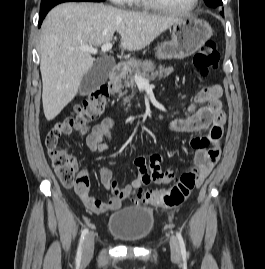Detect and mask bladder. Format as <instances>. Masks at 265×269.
Here are the masks:
<instances>
[{
	"label": "bladder",
	"instance_id": "1",
	"mask_svg": "<svg viewBox=\"0 0 265 269\" xmlns=\"http://www.w3.org/2000/svg\"><path fill=\"white\" fill-rule=\"evenodd\" d=\"M107 229L121 242L140 244L154 229L153 211L138 205L126 206L110 215Z\"/></svg>",
	"mask_w": 265,
	"mask_h": 269
}]
</instances>
